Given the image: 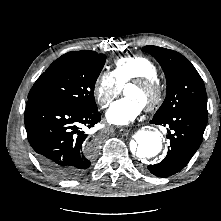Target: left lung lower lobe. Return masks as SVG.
Masks as SVG:
<instances>
[{
	"label": "left lung lower lobe",
	"instance_id": "left-lung-lower-lobe-1",
	"mask_svg": "<svg viewBox=\"0 0 221 221\" xmlns=\"http://www.w3.org/2000/svg\"><path fill=\"white\" fill-rule=\"evenodd\" d=\"M208 117L200 112L188 110L165 118L154 117L151 123L167 125L170 148L163 161L149 165V171L158 177H168L182 170L199 148Z\"/></svg>",
	"mask_w": 221,
	"mask_h": 221
}]
</instances>
